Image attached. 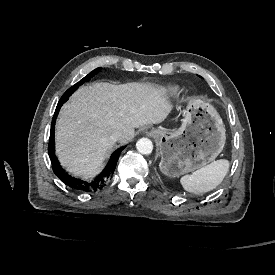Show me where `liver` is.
Listing matches in <instances>:
<instances>
[{"label":"liver","instance_id":"1","mask_svg":"<svg viewBox=\"0 0 275 275\" xmlns=\"http://www.w3.org/2000/svg\"><path fill=\"white\" fill-rule=\"evenodd\" d=\"M170 106L159 89L144 84L81 87L65 104L56 125V149L63 166L85 179L100 173L106 151L115 145L110 135L121 130L119 143L134 136V128L160 124Z\"/></svg>","mask_w":275,"mask_h":275}]
</instances>
